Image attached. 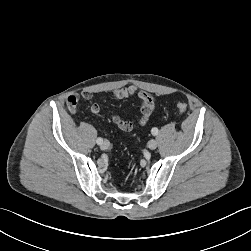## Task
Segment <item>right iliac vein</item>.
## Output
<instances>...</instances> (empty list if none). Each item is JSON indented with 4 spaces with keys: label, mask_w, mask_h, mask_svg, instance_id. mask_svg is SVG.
Here are the masks:
<instances>
[{
    "label": "right iliac vein",
    "mask_w": 251,
    "mask_h": 251,
    "mask_svg": "<svg viewBox=\"0 0 251 251\" xmlns=\"http://www.w3.org/2000/svg\"><path fill=\"white\" fill-rule=\"evenodd\" d=\"M110 144L108 141H104L102 144H100V148L102 150H107L109 148Z\"/></svg>",
    "instance_id": "1"
}]
</instances>
